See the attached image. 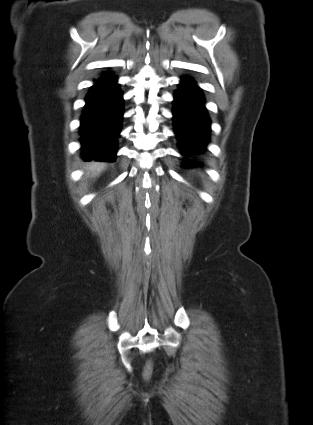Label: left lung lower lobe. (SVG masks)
<instances>
[{"label":"left lung lower lobe","instance_id":"0a47b994","mask_svg":"<svg viewBox=\"0 0 313 425\" xmlns=\"http://www.w3.org/2000/svg\"><path fill=\"white\" fill-rule=\"evenodd\" d=\"M174 129L184 153L203 152L209 141L210 119L201 89L190 77H183L174 94ZM185 167H199L200 162L187 161Z\"/></svg>","mask_w":313,"mask_h":425}]
</instances>
